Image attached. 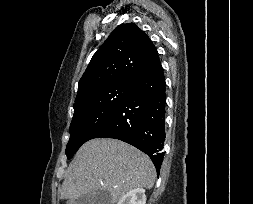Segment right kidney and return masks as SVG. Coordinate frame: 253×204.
Wrapping results in <instances>:
<instances>
[{
	"label": "right kidney",
	"instance_id": "1",
	"mask_svg": "<svg viewBox=\"0 0 253 204\" xmlns=\"http://www.w3.org/2000/svg\"><path fill=\"white\" fill-rule=\"evenodd\" d=\"M117 204H146V195L143 188H136L121 197Z\"/></svg>",
	"mask_w": 253,
	"mask_h": 204
}]
</instances>
